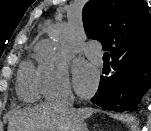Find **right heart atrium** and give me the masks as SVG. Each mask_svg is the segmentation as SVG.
I'll return each instance as SVG.
<instances>
[{
	"label": "right heart atrium",
	"mask_w": 151,
	"mask_h": 131,
	"mask_svg": "<svg viewBox=\"0 0 151 131\" xmlns=\"http://www.w3.org/2000/svg\"><path fill=\"white\" fill-rule=\"evenodd\" d=\"M37 74L45 98L59 99L71 96L68 60L63 53L51 50L42 55Z\"/></svg>",
	"instance_id": "d8ad5b80"
}]
</instances>
